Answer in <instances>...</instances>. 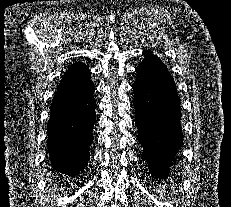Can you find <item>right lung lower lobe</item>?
Wrapping results in <instances>:
<instances>
[{
  "label": "right lung lower lobe",
  "mask_w": 231,
  "mask_h": 207,
  "mask_svg": "<svg viewBox=\"0 0 231 207\" xmlns=\"http://www.w3.org/2000/svg\"><path fill=\"white\" fill-rule=\"evenodd\" d=\"M90 70L80 62L71 65L57 87L48 122V151L52 168L76 176L90 157L96 122Z\"/></svg>",
  "instance_id": "right-lung-lower-lobe-1"
}]
</instances>
